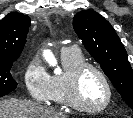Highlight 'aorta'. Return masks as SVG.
<instances>
[{"instance_id":"obj_1","label":"aorta","mask_w":133,"mask_h":118,"mask_svg":"<svg viewBox=\"0 0 133 118\" xmlns=\"http://www.w3.org/2000/svg\"><path fill=\"white\" fill-rule=\"evenodd\" d=\"M45 58L49 62L50 65H52V66L56 65V60H55V58H54V56L52 55L51 52H47L45 54Z\"/></svg>"}]
</instances>
